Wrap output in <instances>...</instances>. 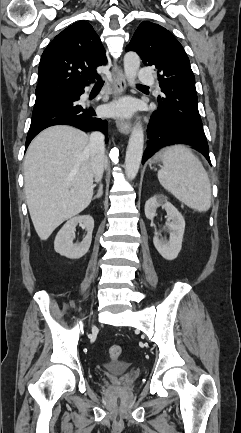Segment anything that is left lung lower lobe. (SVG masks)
I'll return each instance as SVG.
<instances>
[{
  "label": "left lung lower lobe",
  "instance_id": "left-lung-lower-lobe-1",
  "mask_svg": "<svg viewBox=\"0 0 241 433\" xmlns=\"http://www.w3.org/2000/svg\"><path fill=\"white\" fill-rule=\"evenodd\" d=\"M147 135V146L143 154L142 163L162 147L174 144H186L202 153L211 165L206 138L193 133L159 110L154 112L151 117Z\"/></svg>",
  "mask_w": 241,
  "mask_h": 433
}]
</instances>
